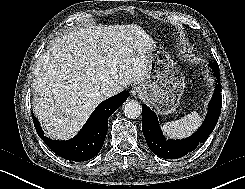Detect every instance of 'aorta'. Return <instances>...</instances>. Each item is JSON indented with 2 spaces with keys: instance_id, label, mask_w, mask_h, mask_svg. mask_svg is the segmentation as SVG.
<instances>
[{
  "instance_id": "obj_1",
  "label": "aorta",
  "mask_w": 245,
  "mask_h": 189,
  "mask_svg": "<svg viewBox=\"0 0 245 189\" xmlns=\"http://www.w3.org/2000/svg\"><path fill=\"white\" fill-rule=\"evenodd\" d=\"M123 112L128 118H138L141 114V106L135 100H129L124 104Z\"/></svg>"
}]
</instances>
